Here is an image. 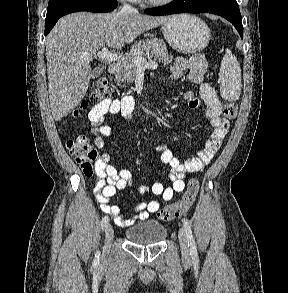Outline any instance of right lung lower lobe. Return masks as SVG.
Wrapping results in <instances>:
<instances>
[{
  "label": "right lung lower lobe",
  "instance_id": "1",
  "mask_svg": "<svg viewBox=\"0 0 288 293\" xmlns=\"http://www.w3.org/2000/svg\"><path fill=\"white\" fill-rule=\"evenodd\" d=\"M117 5V1L101 3L94 0H76L60 5L50 11H47L44 35H47L54 27L58 19L66 14L79 11H90L93 13L110 12L115 9Z\"/></svg>",
  "mask_w": 288,
  "mask_h": 293
}]
</instances>
